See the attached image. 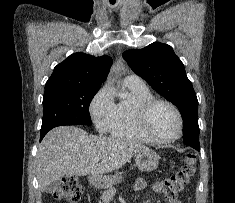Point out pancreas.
Returning <instances> with one entry per match:
<instances>
[{"label": "pancreas", "mask_w": 235, "mask_h": 203, "mask_svg": "<svg viewBox=\"0 0 235 203\" xmlns=\"http://www.w3.org/2000/svg\"><path fill=\"white\" fill-rule=\"evenodd\" d=\"M116 188L110 186L102 193V200L104 203H108L116 193Z\"/></svg>", "instance_id": "pancreas-1"}]
</instances>
